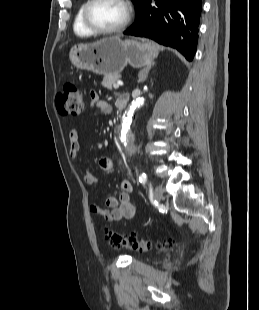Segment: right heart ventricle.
I'll list each match as a JSON object with an SVG mask.
<instances>
[{
    "label": "right heart ventricle",
    "instance_id": "right-heart-ventricle-1",
    "mask_svg": "<svg viewBox=\"0 0 259 310\" xmlns=\"http://www.w3.org/2000/svg\"><path fill=\"white\" fill-rule=\"evenodd\" d=\"M87 3V0H84L80 6L78 7L76 14L74 16L73 20V31L74 33L79 36V37H90L93 34L85 27L83 24V19H82V14H83V9Z\"/></svg>",
    "mask_w": 259,
    "mask_h": 310
}]
</instances>
